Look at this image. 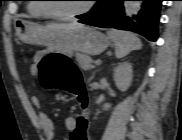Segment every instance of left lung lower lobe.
I'll use <instances>...</instances> for the list:
<instances>
[{
  "label": "left lung lower lobe",
  "instance_id": "0a47b994",
  "mask_svg": "<svg viewBox=\"0 0 182 140\" xmlns=\"http://www.w3.org/2000/svg\"><path fill=\"white\" fill-rule=\"evenodd\" d=\"M125 0H101L96 8L80 18V23L101 27L129 30L156 41L162 0H143L142 9L132 19L125 17Z\"/></svg>",
  "mask_w": 182,
  "mask_h": 140
}]
</instances>
